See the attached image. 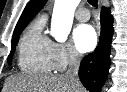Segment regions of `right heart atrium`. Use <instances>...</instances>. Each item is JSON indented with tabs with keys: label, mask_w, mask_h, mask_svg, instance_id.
Wrapping results in <instances>:
<instances>
[{
	"label": "right heart atrium",
	"mask_w": 127,
	"mask_h": 92,
	"mask_svg": "<svg viewBox=\"0 0 127 92\" xmlns=\"http://www.w3.org/2000/svg\"><path fill=\"white\" fill-rule=\"evenodd\" d=\"M81 55L69 42H53L52 61L57 71H62L67 67L78 63Z\"/></svg>",
	"instance_id": "d8ad5b80"
}]
</instances>
